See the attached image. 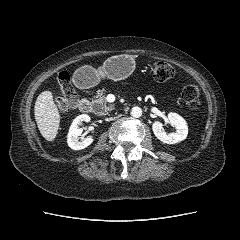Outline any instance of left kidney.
<instances>
[{
    "label": "left kidney",
    "mask_w": 240,
    "mask_h": 240,
    "mask_svg": "<svg viewBox=\"0 0 240 240\" xmlns=\"http://www.w3.org/2000/svg\"><path fill=\"white\" fill-rule=\"evenodd\" d=\"M169 123L176 128L175 133L167 134L163 130V124L159 121H155L152 125V130L155 136L167 144H175L177 142L183 141L188 134V126L186 121L178 114L170 112L168 114Z\"/></svg>",
    "instance_id": "obj_1"
}]
</instances>
